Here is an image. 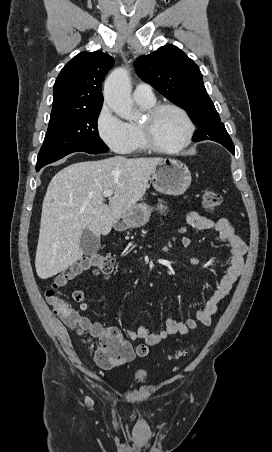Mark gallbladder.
<instances>
[{"instance_id":"1","label":"gallbladder","mask_w":272,"mask_h":452,"mask_svg":"<svg viewBox=\"0 0 272 452\" xmlns=\"http://www.w3.org/2000/svg\"><path fill=\"white\" fill-rule=\"evenodd\" d=\"M80 248L85 255H93L100 248V240L92 231L84 229L80 238Z\"/></svg>"}]
</instances>
